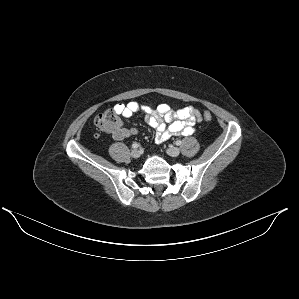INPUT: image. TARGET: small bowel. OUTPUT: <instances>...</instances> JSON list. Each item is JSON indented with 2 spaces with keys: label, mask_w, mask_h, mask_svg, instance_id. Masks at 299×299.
I'll use <instances>...</instances> for the list:
<instances>
[{
  "label": "small bowel",
  "mask_w": 299,
  "mask_h": 299,
  "mask_svg": "<svg viewBox=\"0 0 299 299\" xmlns=\"http://www.w3.org/2000/svg\"><path fill=\"white\" fill-rule=\"evenodd\" d=\"M114 108L126 118L139 111L144 112L147 123L155 130V139L158 143H163L176 135H192L195 123L201 119L199 111L193 107H184L175 111L166 103L151 107L131 101L117 103ZM137 133L135 128H121L113 133V138L123 140Z\"/></svg>",
  "instance_id": "small-bowel-1"
}]
</instances>
